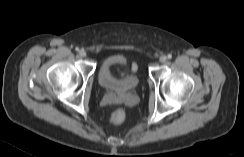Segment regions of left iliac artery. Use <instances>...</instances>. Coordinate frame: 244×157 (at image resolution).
I'll return each mask as SVG.
<instances>
[{"label": "left iliac artery", "instance_id": "44dca946", "mask_svg": "<svg viewBox=\"0 0 244 157\" xmlns=\"http://www.w3.org/2000/svg\"><path fill=\"white\" fill-rule=\"evenodd\" d=\"M167 57H168V59H171L172 58V55L171 54H168Z\"/></svg>", "mask_w": 244, "mask_h": 157}]
</instances>
